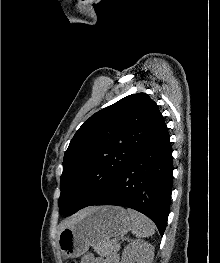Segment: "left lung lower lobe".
Wrapping results in <instances>:
<instances>
[{"instance_id":"obj_1","label":"left lung lower lobe","mask_w":220,"mask_h":263,"mask_svg":"<svg viewBox=\"0 0 220 263\" xmlns=\"http://www.w3.org/2000/svg\"><path fill=\"white\" fill-rule=\"evenodd\" d=\"M172 181V148L164 123L134 153L107 190L88 206L132 208L154 221L163 236L170 210Z\"/></svg>"}]
</instances>
